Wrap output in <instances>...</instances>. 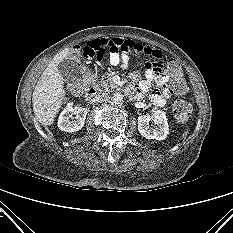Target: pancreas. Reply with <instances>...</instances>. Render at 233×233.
I'll return each mask as SVG.
<instances>
[{"label": "pancreas", "mask_w": 233, "mask_h": 233, "mask_svg": "<svg viewBox=\"0 0 233 233\" xmlns=\"http://www.w3.org/2000/svg\"><path fill=\"white\" fill-rule=\"evenodd\" d=\"M95 88L99 91L110 92L113 89L118 88V86L115 83H113L110 77H107L106 79H101L100 81H98L95 85Z\"/></svg>", "instance_id": "pancreas-1"}]
</instances>
